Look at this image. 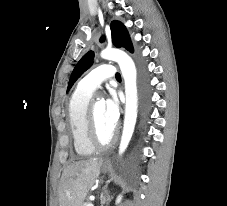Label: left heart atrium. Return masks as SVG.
I'll return each mask as SVG.
<instances>
[{
  "label": "left heart atrium",
  "mask_w": 227,
  "mask_h": 206,
  "mask_svg": "<svg viewBox=\"0 0 227 206\" xmlns=\"http://www.w3.org/2000/svg\"><path fill=\"white\" fill-rule=\"evenodd\" d=\"M105 117L110 126L115 129L119 116L120 106L115 94H111L105 101Z\"/></svg>",
  "instance_id": "obj_1"
}]
</instances>
